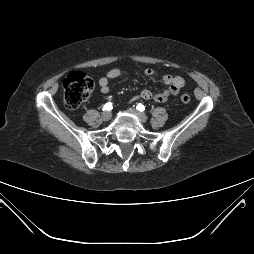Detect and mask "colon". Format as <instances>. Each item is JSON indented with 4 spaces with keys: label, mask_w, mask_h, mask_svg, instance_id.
<instances>
[{
    "label": "colon",
    "mask_w": 254,
    "mask_h": 254,
    "mask_svg": "<svg viewBox=\"0 0 254 254\" xmlns=\"http://www.w3.org/2000/svg\"><path fill=\"white\" fill-rule=\"evenodd\" d=\"M64 104L68 109H77L91 95L94 89L93 79L83 72H72L64 80ZM183 103H189L188 94L181 95Z\"/></svg>",
    "instance_id": "1"
}]
</instances>
